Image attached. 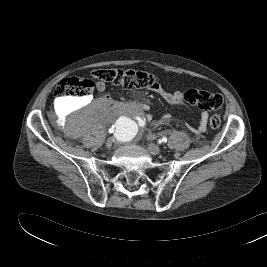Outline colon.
<instances>
[{
    "label": "colon",
    "mask_w": 267,
    "mask_h": 267,
    "mask_svg": "<svg viewBox=\"0 0 267 267\" xmlns=\"http://www.w3.org/2000/svg\"><path fill=\"white\" fill-rule=\"evenodd\" d=\"M92 77L100 82L120 86L125 89H152L158 85L155 75L132 69H96L92 71ZM95 82L89 78H65L55 86L54 96L59 98L86 97L94 89ZM184 100L192 106L202 110H218L223 106L221 95L199 89H190L184 92ZM211 128L218 129L221 119L217 115L210 117Z\"/></svg>",
    "instance_id": "5ec220e1"
}]
</instances>
